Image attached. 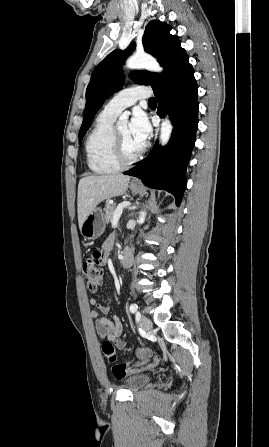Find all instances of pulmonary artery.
<instances>
[{
	"label": "pulmonary artery",
	"instance_id": "pulmonary-artery-1",
	"mask_svg": "<svg viewBox=\"0 0 269 447\" xmlns=\"http://www.w3.org/2000/svg\"><path fill=\"white\" fill-rule=\"evenodd\" d=\"M145 87L132 86L116 93L104 106V111L117 116L124 109L134 105L137 101L149 97Z\"/></svg>",
	"mask_w": 269,
	"mask_h": 447
}]
</instances>
